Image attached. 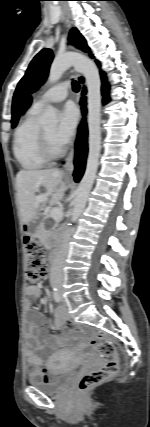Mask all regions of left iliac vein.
I'll return each instance as SVG.
<instances>
[{
	"label": "left iliac vein",
	"instance_id": "1",
	"mask_svg": "<svg viewBox=\"0 0 150 427\" xmlns=\"http://www.w3.org/2000/svg\"><path fill=\"white\" fill-rule=\"evenodd\" d=\"M59 295H60V298H61V301H62V304H66V301H65V299H64V297L62 296V293L61 292H59Z\"/></svg>",
	"mask_w": 150,
	"mask_h": 427
}]
</instances>
